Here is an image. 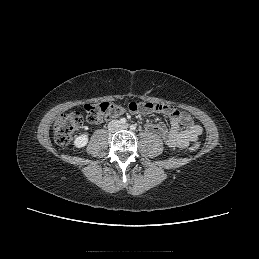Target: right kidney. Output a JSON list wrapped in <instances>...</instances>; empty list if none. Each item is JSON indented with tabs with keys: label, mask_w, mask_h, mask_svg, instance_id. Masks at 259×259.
<instances>
[{
	"label": "right kidney",
	"mask_w": 259,
	"mask_h": 259,
	"mask_svg": "<svg viewBox=\"0 0 259 259\" xmlns=\"http://www.w3.org/2000/svg\"><path fill=\"white\" fill-rule=\"evenodd\" d=\"M87 143H88V134L87 133L78 136L74 140V145L77 148H82V147L86 146Z\"/></svg>",
	"instance_id": "obj_1"
}]
</instances>
